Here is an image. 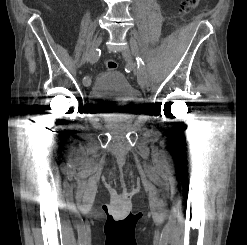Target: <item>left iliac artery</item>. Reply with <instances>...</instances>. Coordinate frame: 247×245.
Segmentation results:
<instances>
[{
    "label": "left iliac artery",
    "mask_w": 247,
    "mask_h": 245,
    "mask_svg": "<svg viewBox=\"0 0 247 245\" xmlns=\"http://www.w3.org/2000/svg\"><path fill=\"white\" fill-rule=\"evenodd\" d=\"M129 41H130V45H132V48H131L132 58H136L137 69H138L139 75L144 76V74L146 73V68H145L144 61L139 56V54H137L139 53V48H138L139 40L136 37L134 31L130 32Z\"/></svg>",
    "instance_id": "44dca946"
}]
</instances>
